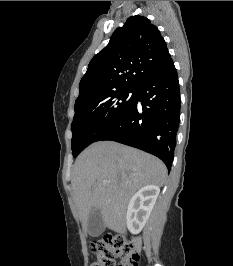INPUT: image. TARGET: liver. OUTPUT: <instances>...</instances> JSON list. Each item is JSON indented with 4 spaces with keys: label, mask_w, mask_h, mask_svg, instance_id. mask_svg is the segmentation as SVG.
<instances>
[{
    "label": "liver",
    "mask_w": 233,
    "mask_h": 266,
    "mask_svg": "<svg viewBox=\"0 0 233 266\" xmlns=\"http://www.w3.org/2000/svg\"><path fill=\"white\" fill-rule=\"evenodd\" d=\"M166 176L164 163L153 155L114 141L91 144L76 159L71 178L82 225L87 230L90 214L98 209L107 228L125 235L130 198L143 186H163Z\"/></svg>",
    "instance_id": "6515ba94"
}]
</instances>
